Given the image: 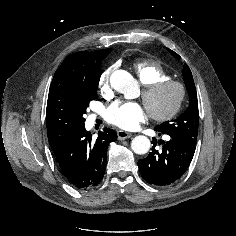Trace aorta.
<instances>
[{
    "label": "aorta",
    "mask_w": 236,
    "mask_h": 236,
    "mask_svg": "<svg viewBox=\"0 0 236 236\" xmlns=\"http://www.w3.org/2000/svg\"><path fill=\"white\" fill-rule=\"evenodd\" d=\"M111 83L113 88L123 93L125 98H134L138 91V84L136 80L127 71L121 70L117 71L112 75ZM151 146L150 140L143 135L136 136L132 139L131 148L134 153L142 155L146 154Z\"/></svg>",
    "instance_id": "762f6f07"
}]
</instances>
